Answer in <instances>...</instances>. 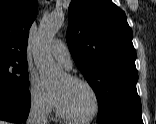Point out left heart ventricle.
Instances as JSON below:
<instances>
[{"instance_id": "obj_1", "label": "left heart ventricle", "mask_w": 156, "mask_h": 124, "mask_svg": "<svg viewBox=\"0 0 156 124\" xmlns=\"http://www.w3.org/2000/svg\"><path fill=\"white\" fill-rule=\"evenodd\" d=\"M63 108L73 116L89 115L95 107L90 90L82 84L69 81L66 76L59 79L53 87Z\"/></svg>"}]
</instances>
